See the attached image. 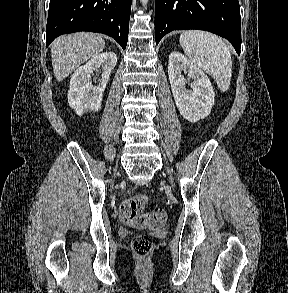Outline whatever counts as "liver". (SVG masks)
<instances>
[{
    "label": "liver",
    "mask_w": 288,
    "mask_h": 293,
    "mask_svg": "<svg viewBox=\"0 0 288 293\" xmlns=\"http://www.w3.org/2000/svg\"><path fill=\"white\" fill-rule=\"evenodd\" d=\"M105 47L101 36L80 32L60 36L51 44L52 66L56 79L63 81L81 64L99 55Z\"/></svg>",
    "instance_id": "obj_1"
}]
</instances>
